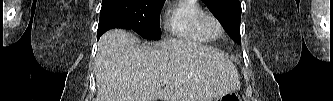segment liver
Wrapping results in <instances>:
<instances>
[{"label": "liver", "instance_id": "1", "mask_svg": "<svg viewBox=\"0 0 333 101\" xmlns=\"http://www.w3.org/2000/svg\"><path fill=\"white\" fill-rule=\"evenodd\" d=\"M95 75L96 101H212L240 87L223 51L177 39L140 45L122 29L100 38Z\"/></svg>", "mask_w": 333, "mask_h": 101}]
</instances>
